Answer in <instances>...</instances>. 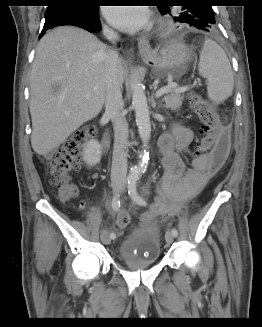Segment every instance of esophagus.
Listing matches in <instances>:
<instances>
[{"mask_svg":"<svg viewBox=\"0 0 262 327\" xmlns=\"http://www.w3.org/2000/svg\"><path fill=\"white\" fill-rule=\"evenodd\" d=\"M138 48L141 56H151L152 55V48L149 43V40L146 37H142L138 42Z\"/></svg>","mask_w":262,"mask_h":327,"instance_id":"obj_1","label":"esophagus"}]
</instances>
